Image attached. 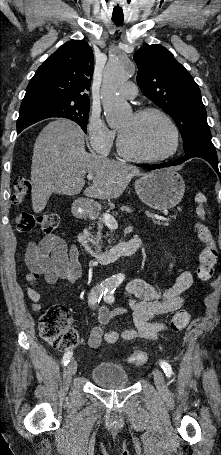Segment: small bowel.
Wrapping results in <instances>:
<instances>
[{"mask_svg":"<svg viewBox=\"0 0 221 455\" xmlns=\"http://www.w3.org/2000/svg\"><path fill=\"white\" fill-rule=\"evenodd\" d=\"M25 263L29 269L26 274L24 289L33 302L34 310L41 309V296L35 289L40 278L49 285L60 282L76 284L81 278L82 269L79 261V250L76 245L67 247L58 235L45 236L39 242H31L25 253ZM193 283L189 271H183L170 287L159 290L142 279H133L125 287V294L131 311L133 326L118 332L105 330V327L118 317L128 313L127 309L118 306L109 310L105 305L98 308V324L92 329L88 343L97 347L101 341L113 344L119 339L156 340L166 330L163 323L155 319L179 311L185 296Z\"/></svg>","mask_w":221,"mask_h":455,"instance_id":"1","label":"small bowel"}]
</instances>
